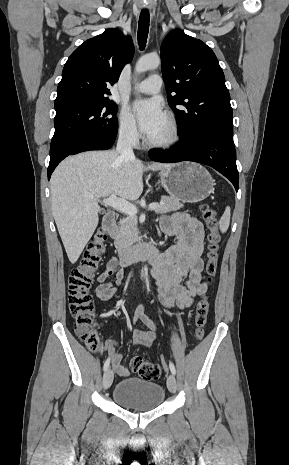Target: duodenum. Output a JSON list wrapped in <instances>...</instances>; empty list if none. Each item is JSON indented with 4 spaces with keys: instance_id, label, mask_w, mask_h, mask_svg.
<instances>
[{
    "instance_id": "410a0bca",
    "label": "duodenum",
    "mask_w": 289,
    "mask_h": 465,
    "mask_svg": "<svg viewBox=\"0 0 289 465\" xmlns=\"http://www.w3.org/2000/svg\"><path fill=\"white\" fill-rule=\"evenodd\" d=\"M103 227L110 236L116 232V215L109 211L104 215ZM161 254L154 245H138L134 247H123L118 251L121 266H128L134 262L148 260L155 264L160 260Z\"/></svg>"
}]
</instances>
